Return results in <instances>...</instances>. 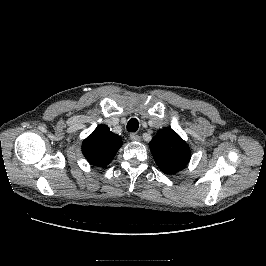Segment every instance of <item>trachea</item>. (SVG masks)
<instances>
[{
	"instance_id": "obj_1",
	"label": "trachea",
	"mask_w": 266,
	"mask_h": 266,
	"mask_svg": "<svg viewBox=\"0 0 266 266\" xmlns=\"http://www.w3.org/2000/svg\"><path fill=\"white\" fill-rule=\"evenodd\" d=\"M139 127V122L136 118H132L127 123V130L129 132H136Z\"/></svg>"
}]
</instances>
